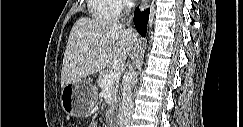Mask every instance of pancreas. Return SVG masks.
I'll return each mask as SVG.
<instances>
[{"mask_svg": "<svg viewBox=\"0 0 243 127\" xmlns=\"http://www.w3.org/2000/svg\"><path fill=\"white\" fill-rule=\"evenodd\" d=\"M113 68H109L107 70H103L99 77H98V80H97V84L98 86L101 88V90H104L105 89V86L103 85V78L104 76L109 73L110 71H112ZM118 85H119V80L116 79L114 80V82L112 84H110L108 86V91L111 95V103H110V106H114V102L117 100V93H118Z\"/></svg>", "mask_w": 243, "mask_h": 127, "instance_id": "pancreas-1", "label": "pancreas"}]
</instances>
